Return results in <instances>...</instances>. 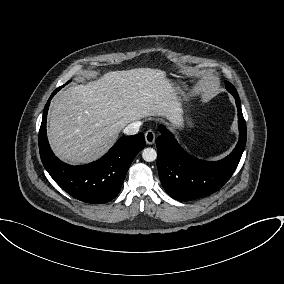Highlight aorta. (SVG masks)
Returning a JSON list of instances; mask_svg holds the SVG:
<instances>
[{"instance_id":"762f6f07","label":"aorta","mask_w":284,"mask_h":284,"mask_svg":"<svg viewBox=\"0 0 284 284\" xmlns=\"http://www.w3.org/2000/svg\"><path fill=\"white\" fill-rule=\"evenodd\" d=\"M142 158L146 162H152L157 158V152L153 148H145L142 152Z\"/></svg>"}]
</instances>
